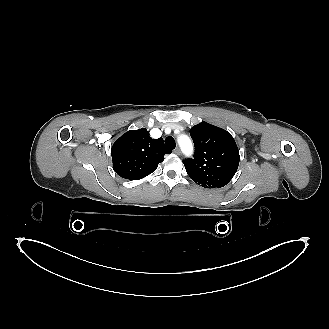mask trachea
Returning a JSON list of instances; mask_svg holds the SVG:
<instances>
[{
    "instance_id": "obj_1",
    "label": "trachea",
    "mask_w": 329,
    "mask_h": 329,
    "mask_svg": "<svg viewBox=\"0 0 329 329\" xmlns=\"http://www.w3.org/2000/svg\"><path fill=\"white\" fill-rule=\"evenodd\" d=\"M165 143L167 145L168 148L170 149H174L176 147V143H175V140L173 137L171 136H168L166 139H165Z\"/></svg>"
}]
</instances>
